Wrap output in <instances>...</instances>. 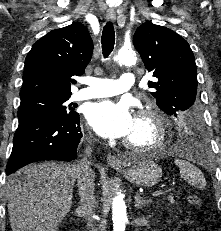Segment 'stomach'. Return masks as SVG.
Segmentation results:
<instances>
[{
    "mask_svg": "<svg viewBox=\"0 0 221 231\" xmlns=\"http://www.w3.org/2000/svg\"><path fill=\"white\" fill-rule=\"evenodd\" d=\"M125 178L134 185L152 187L158 184L162 178V169L150 160H142L128 169H117Z\"/></svg>",
    "mask_w": 221,
    "mask_h": 231,
    "instance_id": "obj_1",
    "label": "stomach"
}]
</instances>
